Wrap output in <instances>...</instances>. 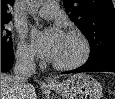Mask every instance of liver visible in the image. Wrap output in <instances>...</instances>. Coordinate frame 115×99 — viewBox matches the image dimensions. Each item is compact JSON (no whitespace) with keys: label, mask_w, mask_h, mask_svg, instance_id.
Segmentation results:
<instances>
[{"label":"liver","mask_w":115,"mask_h":99,"mask_svg":"<svg viewBox=\"0 0 115 99\" xmlns=\"http://www.w3.org/2000/svg\"><path fill=\"white\" fill-rule=\"evenodd\" d=\"M1 99H37V95L35 88L29 84L23 95H20L15 90L13 76L1 73Z\"/></svg>","instance_id":"liver-1"}]
</instances>
